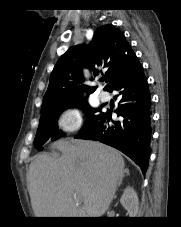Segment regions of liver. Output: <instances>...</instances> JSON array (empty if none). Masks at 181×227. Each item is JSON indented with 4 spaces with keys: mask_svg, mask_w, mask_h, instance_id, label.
<instances>
[{
    "mask_svg": "<svg viewBox=\"0 0 181 227\" xmlns=\"http://www.w3.org/2000/svg\"><path fill=\"white\" fill-rule=\"evenodd\" d=\"M62 155L40 154L29 166L31 204L36 217H100L109 208L124 176V159L96 141L61 139ZM78 201L83 202L79 208Z\"/></svg>",
    "mask_w": 181,
    "mask_h": 227,
    "instance_id": "1",
    "label": "liver"
}]
</instances>
